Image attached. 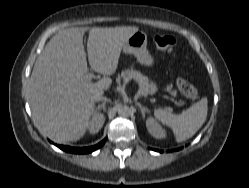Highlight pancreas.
<instances>
[{
	"label": "pancreas",
	"instance_id": "cf45deb5",
	"mask_svg": "<svg viewBox=\"0 0 249 188\" xmlns=\"http://www.w3.org/2000/svg\"><path fill=\"white\" fill-rule=\"evenodd\" d=\"M131 79L135 80L138 84V93L142 96L154 94L157 90V87L153 82H149V79L146 76H143L141 72L134 70L133 67L123 70L121 74L118 75L116 81L117 83H120L121 80L129 81ZM166 90L169 91L171 95H176V91H172L171 85L167 86Z\"/></svg>",
	"mask_w": 249,
	"mask_h": 188
}]
</instances>
